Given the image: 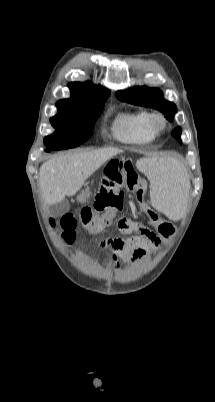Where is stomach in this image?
Here are the masks:
<instances>
[{"label":"stomach","mask_w":215,"mask_h":402,"mask_svg":"<svg viewBox=\"0 0 215 402\" xmlns=\"http://www.w3.org/2000/svg\"><path fill=\"white\" fill-rule=\"evenodd\" d=\"M112 174H110L111 176ZM110 177H105V175L102 176L101 178V183L105 180H109ZM90 196V190L86 189L85 191H82V193L78 196V200L80 202H86L87 198Z\"/></svg>","instance_id":"obj_1"}]
</instances>
